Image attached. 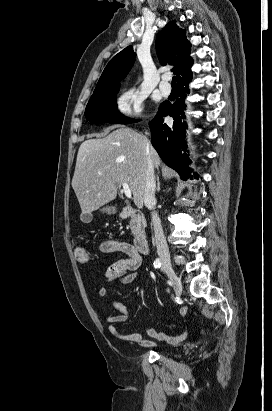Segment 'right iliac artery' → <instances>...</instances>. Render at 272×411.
Listing matches in <instances>:
<instances>
[{
    "mask_svg": "<svg viewBox=\"0 0 272 411\" xmlns=\"http://www.w3.org/2000/svg\"><path fill=\"white\" fill-rule=\"evenodd\" d=\"M153 265L156 269L160 268L161 267V259H159V258L155 259Z\"/></svg>",
    "mask_w": 272,
    "mask_h": 411,
    "instance_id": "obj_1",
    "label": "right iliac artery"
}]
</instances>
